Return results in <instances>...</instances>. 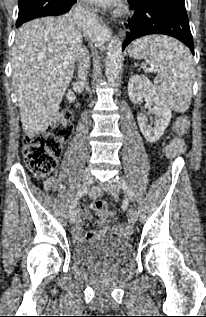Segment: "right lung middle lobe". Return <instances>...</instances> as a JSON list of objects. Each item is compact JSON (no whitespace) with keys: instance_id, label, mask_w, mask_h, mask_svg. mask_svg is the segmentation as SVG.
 Masks as SVG:
<instances>
[{"instance_id":"dd1d6c3e","label":"right lung middle lobe","mask_w":206,"mask_h":317,"mask_svg":"<svg viewBox=\"0 0 206 317\" xmlns=\"http://www.w3.org/2000/svg\"><path fill=\"white\" fill-rule=\"evenodd\" d=\"M60 2L61 0H18L17 27L38 17L60 15L56 10Z\"/></svg>"}]
</instances>
